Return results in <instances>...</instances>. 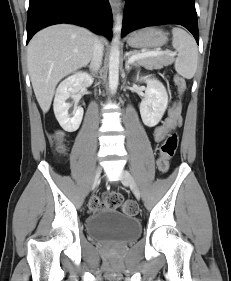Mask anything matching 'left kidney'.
Listing matches in <instances>:
<instances>
[{
  "label": "left kidney",
  "instance_id": "5707ae66",
  "mask_svg": "<svg viewBox=\"0 0 231 281\" xmlns=\"http://www.w3.org/2000/svg\"><path fill=\"white\" fill-rule=\"evenodd\" d=\"M136 80L147 84L144 98L140 103V114L143 123L148 127L156 126L162 119L168 105V94L164 85L157 79H150L148 76Z\"/></svg>",
  "mask_w": 231,
  "mask_h": 281
}]
</instances>
